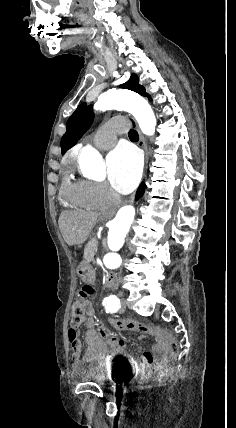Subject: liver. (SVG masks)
Returning a JSON list of instances; mask_svg holds the SVG:
<instances>
[{"label":"liver","mask_w":236,"mask_h":428,"mask_svg":"<svg viewBox=\"0 0 236 428\" xmlns=\"http://www.w3.org/2000/svg\"><path fill=\"white\" fill-rule=\"evenodd\" d=\"M99 214L95 212H62L59 218L60 232L68 246H79L86 242Z\"/></svg>","instance_id":"1"}]
</instances>
